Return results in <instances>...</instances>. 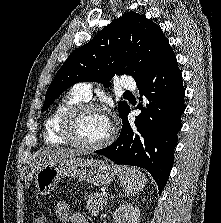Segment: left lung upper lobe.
Segmentation results:
<instances>
[{
  "mask_svg": "<svg viewBox=\"0 0 221 223\" xmlns=\"http://www.w3.org/2000/svg\"><path fill=\"white\" fill-rule=\"evenodd\" d=\"M169 46L160 26L143 14L126 13L69 55L47 90L42 112L78 82L96 81L108 87L115 74H130L136 84L141 82ZM127 107L125 101L118 103L120 116Z\"/></svg>",
  "mask_w": 221,
  "mask_h": 223,
  "instance_id": "5c2ea615",
  "label": "left lung upper lobe"
}]
</instances>
